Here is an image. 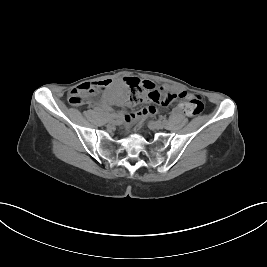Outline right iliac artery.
Listing matches in <instances>:
<instances>
[{
	"label": "right iliac artery",
	"instance_id": "82829eb1",
	"mask_svg": "<svg viewBox=\"0 0 267 267\" xmlns=\"http://www.w3.org/2000/svg\"><path fill=\"white\" fill-rule=\"evenodd\" d=\"M104 118H106L107 120H111L117 117V114L113 113V114H103L102 115Z\"/></svg>",
	"mask_w": 267,
	"mask_h": 267
}]
</instances>
